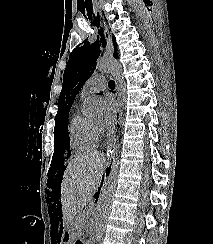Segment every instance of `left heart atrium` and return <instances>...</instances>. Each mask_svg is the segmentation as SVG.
<instances>
[{"label":"left heart atrium","mask_w":213,"mask_h":244,"mask_svg":"<svg viewBox=\"0 0 213 244\" xmlns=\"http://www.w3.org/2000/svg\"><path fill=\"white\" fill-rule=\"evenodd\" d=\"M105 116L103 120V127L110 129L114 126L116 120L117 103L112 97H106L104 101Z\"/></svg>","instance_id":"left-heart-atrium-1"}]
</instances>
